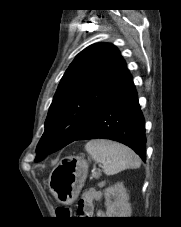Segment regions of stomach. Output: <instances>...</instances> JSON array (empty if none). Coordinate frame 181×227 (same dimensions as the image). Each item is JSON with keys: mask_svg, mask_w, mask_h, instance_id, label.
<instances>
[{"mask_svg": "<svg viewBox=\"0 0 181 227\" xmlns=\"http://www.w3.org/2000/svg\"><path fill=\"white\" fill-rule=\"evenodd\" d=\"M88 163L80 156L62 159L51 171L48 186L55 199L62 204L72 203L84 186Z\"/></svg>", "mask_w": 181, "mask_h": 227, "instance_id": "stomach-1", "label": "stomach"}]
</instances>
